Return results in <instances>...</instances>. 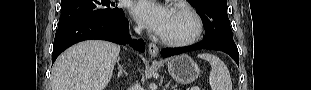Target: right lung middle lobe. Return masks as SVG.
I'll return each mask as SVG.
<instances>
[{"mask_svg": "<svg viewBox=\"0 0 311 90\" xmlns=\"http://www.w3.org/2000/svg\"><path fill=\"white\" fill-rule=\"evenodd\" d=\"M61 5L58 27L83 19H114L124 14L123 10L117 8L110 0H61Z\"/></svg>", "mask_w": 311, "mask_h": 90, "instance_id": "dd1d6c3e", "label": "right lung middle lobe"}]
</instances>
